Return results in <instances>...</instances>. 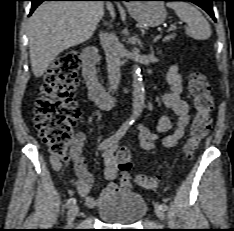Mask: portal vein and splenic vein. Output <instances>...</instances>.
<instances>
[{
    "instance_id": "portal-vein-and-splenic-vein-1",
    "label": "portal vein and splenic vein",
    "mask_w": 234,
    "mask_h": 231,
    "mask_svg": "<svg viewBox=\"0 0 234 231\" xmlns=\"http://www.w3.org/2000/svg\"><path fill=\"white\" fill-rule=\"evenodd\" d=\"M177 29V27L175 26V25H171V27L169 28V30L168 31H174V30H176ZM160 38V36H157L156 37V39H159Z\"/></svg>"
}]
</instances>
